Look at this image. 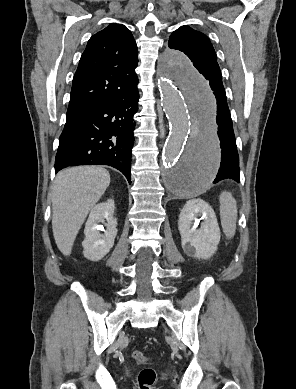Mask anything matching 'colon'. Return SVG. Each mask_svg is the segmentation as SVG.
<instances>
[{
  "mask_svg": "<svg viewBox=\"0 0 296 389\" xmlns=\"http://www.w3.org/2000/svg\"><path fill=\"white\" fill-rule=\"evenodd\" d=\"M131 356L135 361L139 363H145L148 361L147 356L138 350L133 351ZM155 382H156V371L153 368L146 367L139 372L138 375L139 389H153Z\"/></svg>",
  "mask_w": 296,
  "mask_h": 389,
  "instance_id": "colon-1",
  "label": "colon"
}]
</instances>
